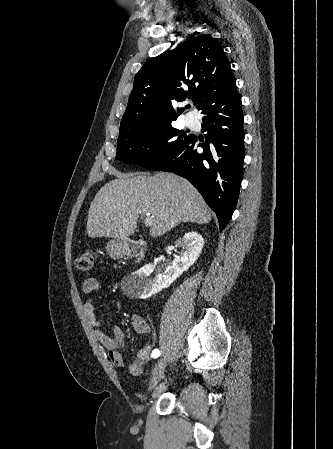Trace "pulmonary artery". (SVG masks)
<instances>
[{
    "instance_id": "pulmonary-artery-1",
    "label": "pulmonary artery",
    "mask_w": 333,
    "mask_h": 449,
    "mask_svg": "<svg viewBox=\"0 0 333 449\" xmlns=\"http://www.w3.org/2000/svg\"><path fill=\"white\" fill-rule=\"evenodd\" d=\"M185 121L188 126H194L196 123V120L191 116H187Z\"/></svg>"
}]
</instances>
